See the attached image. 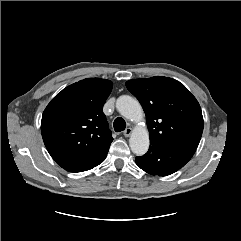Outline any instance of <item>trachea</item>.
Segmentation results:
<instances>
[{
	"label": "trachea",
	"mask_w": 241,
	"mask_h": 241,
	"mask_svg": "<svg viewBox=\"0 0 241 241\" xmlns=\"http://www.w3.org/2000/svg\"><path fill=\"white\" fill-rule=\"evenodd\" d=\"M113 127L116 132H121L126 128V122L123 118L118 117L114 120Z\"/></svg>",
	"instance_id": "3493384b"
}]
</instances>
